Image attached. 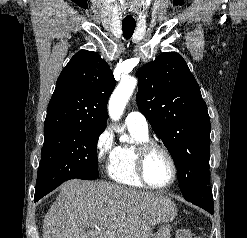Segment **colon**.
<instances>
[{"mask_svg": "<svg viewBox=\"0 0 247 238\" xmlns=\"http://www.w3.org/2000/svg\"><path fill=\"white\" fill-rule=\"evenodd\" d=\"M175 238H199L192 230L181 228L177 230Z\"/></svg>", "mask_w": 247, "mask_h": 238, "instance_id": "1", "label": "colon"}]
</instances>
